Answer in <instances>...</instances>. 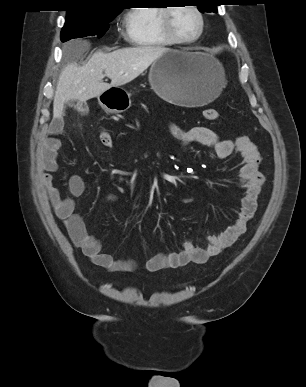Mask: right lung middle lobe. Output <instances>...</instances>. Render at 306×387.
Instances as JSON below:
<instances>
[{"mask_svg": "<svg viewBox=\"0 0 306 387\" xmlns=\"http://www.w3.org/2000/svg\"><path fill=\"white\" fill-rule=\"evenodd\" d=\"M121 11H112L91 16L71 15L66 17L61 32L62 42L85 36L102 37L112 21Z\"/></svg>", "mask_w": 306, "mask_h": 387, "instance_id": "obj_1", "label": "right lung middle lobe"}]
</instances>
